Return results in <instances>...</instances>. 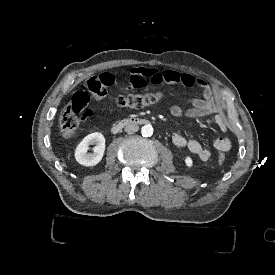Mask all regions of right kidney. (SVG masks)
Masks as SVG:
<instances>
[{"mask_svg": "<svg viewBox=\"0 0 275 275\" xmlns=\"http://www.w3.org/2000/svg\"><path fill=\"white\" fill-rule=\"evenodd\" d=\"M96 144L94 147V155L87 154L88 146ZM105 137L102 133L95 132L87 135L77 145L74 151V158L76 162L85 167L96 166L103 158L105 153Z\"/></svg>", "mask_w": 275, "mask_h": 275, "instance_id": "obj_1", "label": "right kidney"}]
</instances>
